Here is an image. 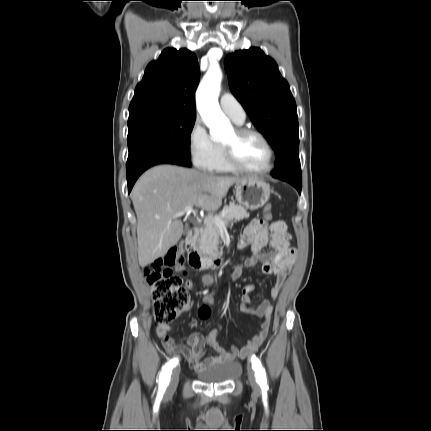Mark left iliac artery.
I'll list each match as a JSON object with an SVG mask.
<instances>
[{
    "label": "left iliac artery",
    "mask_w": 431,
    "mask_h": 431,
    "mask_svg": "<svg viewBox=\"0 0 431 431\" xmlns=\"http://www.w3.org/2000/svg\"><path fill=\"white\" fill-rule=\"evenodd\" d=\"M251 362H252V368L256 374V381L258 382L261 388H267L266 372L264 367L261 364V361L259 360L258 357L253 355L251 357Z\"/></svg>",
    "instance_id": "left-iliac-artery-1"
}]
</instances>
